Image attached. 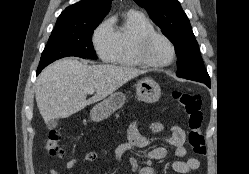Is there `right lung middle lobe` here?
<instances>
[{"mask_svg": "<svg viewBox=\"0 0 249 174\" xmlns=\"http://www.w3.org/2000/svg\"><path fill=\"white\" fill-rule=\"evenodd\" d=\"M100 22L93 21L80 27L53 31L38 68H44L53 61L68 56L97 59L91 37Z\"/></svg>", "mask_w": 249, "mask_h": 174, "instance_id": "1", "label": "right lung middle lobe"}]
</instances>
